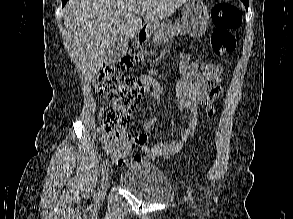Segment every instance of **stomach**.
Wrapping results in <instances>:
<instances>
[{"label": "stomach", "instance_id": "obj_1", "mask_svg": "<svg viewBox=\"0 0 293 219\" xmlns=\"http://www.w3.org/2000/svg\"><path fill=\"white\" fill-rule=\"evenodd\" d=\"M183 21L186 32L192 38H199L208 28L209 10L200 0H189L183 8ZM169 23H157L148 28L150 35L156 36L168 31Z\"/></svg>", "mask_w": 293, "mask_h": 219}]
</instances>
